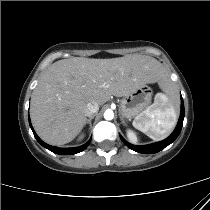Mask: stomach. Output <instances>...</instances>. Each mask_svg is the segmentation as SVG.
Masks as SVG:
<instances>
[{
  "mask_svg": "<svg viewBox=\"0 0 210 210\" xmlns=\"http://www.w3.org/2000/svg\"><path fill=\"white\" fill-rule=\"evenodd\" d=\"M152 89L144 85L125 96L120 103L122 117L126 119L136 118L151 103Z\"/></svg>",
  "mask_w": 210,
  "mask_h": 210,
  "instance_id": "1",
  "label": "stomach"
}]
</instances>
